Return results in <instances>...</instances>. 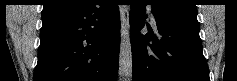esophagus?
Here are the masks:
<instances>
[{"label":"esophagus","instance_id":"34e87169","mask_svg":"<svg viewBox=\"0 0 237 81\" xmlns=\"http://www.w3.org/2000/svg\"><path fill=\"white\" fill-rule=\"evenodd\" d=\"M120 16H121V27H122V35L129 34V11L126 6H120Z\"/></svg>","mask_w":237,"mask_h":81}]
</instances>
